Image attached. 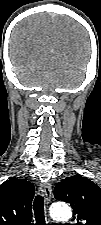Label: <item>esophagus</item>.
I'll return each instance as SVG.
<instances>
[{
	"label": "esophagus",
	"mask_w": 101,
	"mask_h": 225,
	"mask_svg": "<svg viewBox=\"0 0 101 225\" xmlns=\"http://www.w3.org/2000/svg\"><path fill=\"white\" fill-rule=\"evenodd\" d=\"M40 192L44 196L45 203L48 204L50 202L51 196H52L51 184L48 182L42 183L40 185Z\"/></svg>",
	"instance_id": "obj_1"
}]
</instances>
